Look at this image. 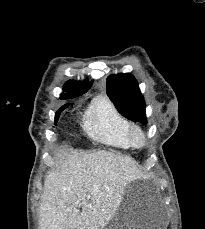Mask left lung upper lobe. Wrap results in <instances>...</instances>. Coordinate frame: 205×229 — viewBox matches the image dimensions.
<instances>
[{"instance_id":"1","label":"left lung upper lobe","mask_w":205,"mask_h":229,"mask_svg":"<svg viewBox=\"0 0 205 229\" xmlns=\"http://www.w3.org/2000/svg\"><path fill=\"white\" fill-rule=\"evenodd\" d=\"M107 95L126 118L147 123L144 98L132 74L110 75L106 80Z\"/></svg>"}]
</instances>
